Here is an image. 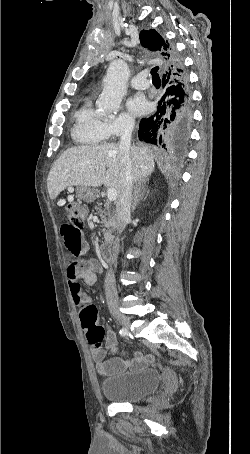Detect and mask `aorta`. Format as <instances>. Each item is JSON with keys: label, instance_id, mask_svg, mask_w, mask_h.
<instances>
[{"label": "aorta", "instance_id": "762f6f07", "mask_svg": "<svg viewBox=\"0 0 250 454\" xmlns=\"http://www.w3.org/2000/svg\"><path fill=\"white\" fill-rule=\"evenodd\" d=\"M130 70L122 60H115L110 63L104 79V87L97 106L102 115L114 117L127 91V81Z\"/></svg>", "mask_w": 250, "mask_h": 454}]
</instances>
